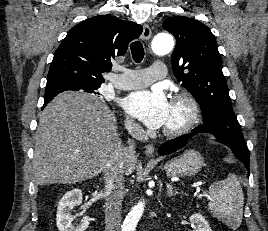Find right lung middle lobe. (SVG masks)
I'll return each instance as SVG.
<instances>
[{"mask_svg":"<svg viewBox=\"0 0 268 231\" xmlns=\"http://www.w3.org/2000/svg\"><path fill=\"white\" fill-rule=\"evenodd\" d=\"M98 86H75V85H68V84H59L52 87H46L45 96L55 97L59 93L63 91H80V92H88L92 94H99L97 92Z\"/></svg>","mask_w":268,"mask_h":231,"instance_id":"1","label":"right lung middle lobe"}]
</instances>
